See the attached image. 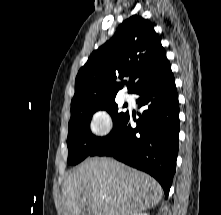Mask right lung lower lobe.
<instances>
[{
    "mask_svg": "<svg viewBox=\"0 0 221 215\" xmlns=\"http://www.w3.org/2000/svg\"><path fill=\"white\" fill-rule=\"evenodd\" d=\"M135 94L138 107H146L132 128L128 112L112 134L89 156H113L147 172L168 196L176 170L179 146V102L173 73L144 86Z\"/></svg>",
    "mask_w": 221,
    "mask_h": 215,
    "instance_id": "98d812e1",
    "label": "right lung lower lobe"
}]
</instances>
